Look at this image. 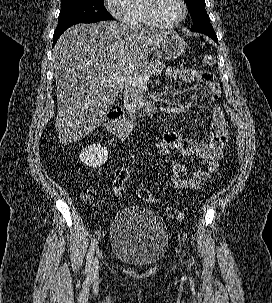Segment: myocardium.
Returning <instances> with one entry per match:
<instances>
[{
	"instance_id": "obj_1",
	"label": "myocardium",
	"mask_w": 272,
	"mask_h": 303,
	"mask_svg": "<svg viewBox=\"0 0 272 303\" xmlns=\"http://www.w3.org/2000/svg\"><path fill=\"white\" fill-rule=\"evenodd\" d=\"M178 1L181 5L180 17L171 24H163L156 17L155 7H156L157 0H145L144 10H145V15H146L147 21L150 23V25L152 27L161 29V30H170V29L176 28L184 21V19L186 18V15H187V4H186L185 0H178Z\"/></svg>"
}]
</instances>
